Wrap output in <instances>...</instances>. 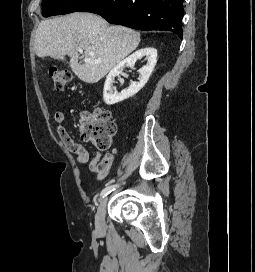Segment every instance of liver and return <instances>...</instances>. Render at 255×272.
Listing matches in <instances>:
<instances>
[{
	"mask_svg": "<svg viewBox=\"0 0 255 272\" xmlns=\"http://www.w3.org/2000/svg\"><path fill=\"white\" fill-rule=\"evenodd\" d=\"M140 43V33L120 25L109 26L99 15L75 12L39 24L34 48L38 57H70V67L85 83L100 81ZM79 49L84 63H79ZM85 59L90 60L86 62Z\"/></svg>",
	"mask_w": 255,
	"mask_h": 272,
	"instance_id": "liver-1",
	"label": "liver"
}]
</instances>
